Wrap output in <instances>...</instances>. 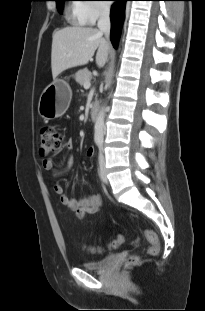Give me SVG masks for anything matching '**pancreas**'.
Instances as JSON below:
<instances>
[{"mask_svg": "<svg viewBox=\"0 0 205 311\" xmlns=\"http://www.w3.org/2000/svg\"><path fill=\"white\" fill-rule=\"evenodd\" d=\"M75 80L80 85H84V83L86 81H90L91 80V72L88 69L79 70L75 74Z\"/></svg>", "mask_w": 205, "mask_h": 311, "instance_id": "1", "label": "pancreas"}]
</instances>
